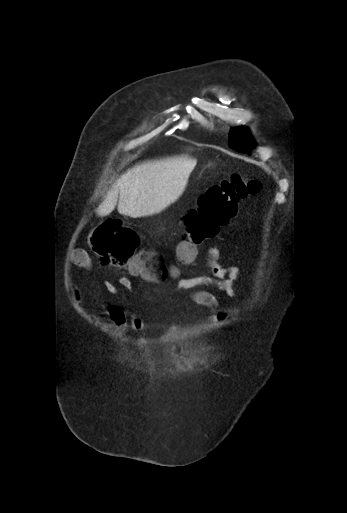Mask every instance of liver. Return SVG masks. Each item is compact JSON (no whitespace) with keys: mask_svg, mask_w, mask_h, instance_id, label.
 I'll list each match as a JSON object with an SVG mask.
<instances>
[{"mask_svg":"<svg viewBox=\"0 0 347 513\" xmlns=\"http://www.w3.org/2000/svg\"><path fill=\"white\" fill-rule=\"evenodd\" d=\"M196 163V159L181 155L134 166L112 185L97 214L109 215L118 199L117 210L122 215L141 217L161 212L181 195Z\"/></svg>","mask_w":347,"mask_h":513,"instance_id":"obj_1","label":"liver"}]
</instances>
